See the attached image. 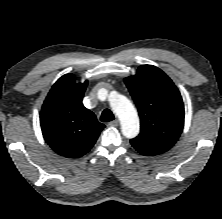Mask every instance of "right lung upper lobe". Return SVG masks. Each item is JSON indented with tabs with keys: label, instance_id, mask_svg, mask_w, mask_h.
Listing matches in <instances>:
<instances>
[{
	"label": "right lung upper lobe",
	"instance_id": "obj_1",
	"mask_svg": "<svg viewBox=\"0 0 222 219\" xmlns=\"http://www.w3.org/2000/svg\"><path fill=\"white\" fill-rule=\"evenodd\" d=\"M87 83H77L73 74L62 76L53 85L42 106V134L47 144L61 156H83L93 147L105 127L82 104Z\"/></svg>",
	"mask_w": 222,
	"mask_h": 219
}]
</instances>
